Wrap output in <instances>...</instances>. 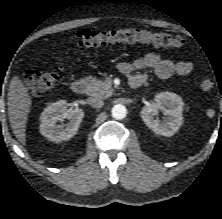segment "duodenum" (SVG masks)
Returning a JSON list of instances; mask_svg holds the SVG:
<instances>
[{"instance_id":"410a0bca","label":"duodenum","mask_w":222,"mask_h":219,"mask_svg":"<svg viewBox=\"0 0 222 219\" xmlns=\"http://www.w3.org/2000/svg\"><path fill=\"white\" fill-rule=\"evenodd\" d=\"M132 88H138L140 84L130 85ZM87 88V83L83 79L74 80L71 84V89L74 94L82 95L85 93Z\"/></svg>"}]
</instances>
